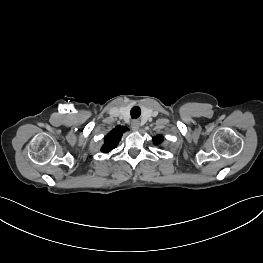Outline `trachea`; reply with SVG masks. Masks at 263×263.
Masks as SVG:
<instances>
[{
    "instance_id": "trachea-1",
    "label": "trachea",
    "mask_w": 263,
    "mask_h": 263,
    "mask_svg": "<svg viewBox=\"0 0 263 263\" xmlns=\"http://www.w3.org/2000/svg\"><path fill=\"white\" fill-rule=\"evenodd\" d=\"M131 117L132 118H138L141 114L140 108L135 106L131 109Z\"/></svg>"
}]
</instances>
